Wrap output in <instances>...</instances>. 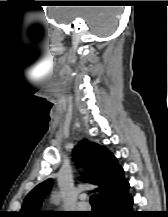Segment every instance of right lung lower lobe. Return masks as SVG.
<instances>
[{
    "instance_id": "obj_1",
    "label": "right lung lower lobe",
    "mask_w": 168,
    "mask_h": 217,
    "mask_svg": "<svg viewBox=\"0 0 168 217\" xmlns=\"http://www.w3.org/2000/svg\"><path fill=\"white\" fill-rule=\"evenodd\" d=\"M129 186L113 196L109 200L100 204L98 217H139L133 211V198L128 192Z\"/></svg>"
}]
</instances>
